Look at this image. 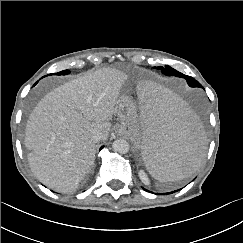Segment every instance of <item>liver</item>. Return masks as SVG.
Returning a JSON list of instances; mask_svg holds the SVG:
<instances>
[{"instance_id":"obj_1","label":"liver","mask_w":243,"mask_h":243,"mask_svg":"<svg viewBox=\"0 0 243 243\" xmlns=\"http://www.w3.org/2000/svg\"><path fill=\"white\" fill-rule=\"evenodd\" d=\"M121 71L87 72L49 92L29 116L25 146L35 177L61 193L74 192L94 165L96 133L108 138L110 120L127 81Z\"/></svg>"}]
</instances>
